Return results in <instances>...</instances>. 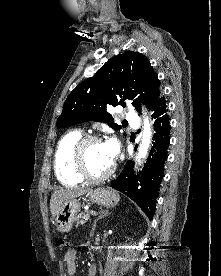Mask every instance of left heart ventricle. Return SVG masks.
Segmentation results:
<instances>
[{"instance_id":"obj_1","label":"left heart ventricle","mask_w":221,"mask_h":276,"mask_svg":"<svg viewBox=\"0 0 221 276\" xmlns=\"http://www.w3.org/2000/svg\"><path fill=\"white\" fill-rule=\"evenodd\" d=\"M113 163L102 142H94L86 148V164L93 175L104 173Z\"/></svg>"}]
</instances>
